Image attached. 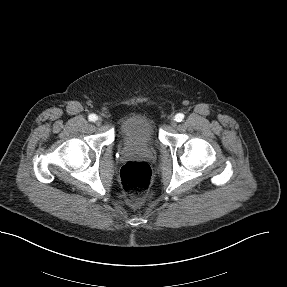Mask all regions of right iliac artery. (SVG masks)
Wrapping results in <instances>:
<instances>
[{"mask_svg":"<svg viewBox=\"0 0 287 287\" xmlns=\"http://www.w3.org/2000/svg\"><path fill=\"white\" fill-rule=\"evenodd\" d=\"M89 121L95 122L97 120V116L95 114H91L88 117Z\"/></svg>","mask_w":287,"mask_h":287,"instance_id":"1","label":"right iliac artery"}]
</instances>
